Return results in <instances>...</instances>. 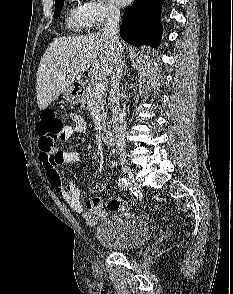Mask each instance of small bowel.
Here are the masks:
<instances>
[{"mask_svg":"<svg viewBox=\"0 0 233 294\" xmlns=\"http://www.w3.org/2000/svg\"><path fill=\"white\" fill-rule=\"evenodd\" d=\"M70 118L72 124L64 127V132L61 137L62 141L69 140L75 133H84L87 129L86 121L80 114L72 113ZM80 159V154L77 151H59L54 149L52 153H45L43 151L40 153V161L43 165L50 186L73 211L82 214L83 218L89 225H95L107 215L106 211L103 209L102 198H91L87 202V210H85L81 202V191L73 183H63L59 173L60 167L78 164ZM104 189L105 184L99 182L93 186L92 192L99 193ZM119 201L124 206V203L121 200Z\"/></svg>","mask_w":233,"mask_h":294,"instance_id":"obj_1","label":"small bowel"}]
</instances>
